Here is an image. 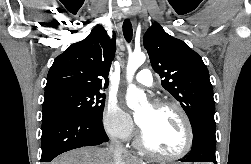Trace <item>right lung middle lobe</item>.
I'll list each match as a JSON object with an SVG mask.
<instances>
[{
  "label": "right lung middle lobe",
  "mask_w": 251,
  "mask_h": 164,
  "mask_svg": "<svg viewBox=\"0 0 251 164\" xmlns=\"http://www.w3.org/2000/svg\"><path fill=\"white\" fill-rule=\"evenodd\" d=\"M104 103L105 95L100 91L57 88L45 91L42 114L44 117L62 113L101 120Z\"/></svg>",
  "instance_id": "obj_1"
}]
</instances>
